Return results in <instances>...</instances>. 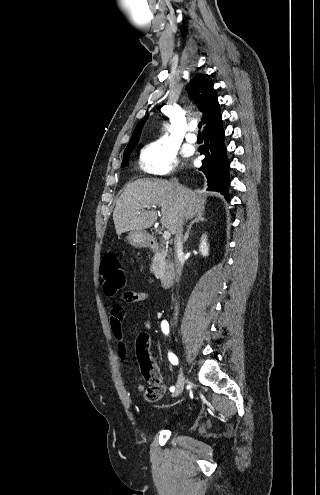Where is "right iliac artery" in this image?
I'll return each instance as SVG.
<instances>
[{"label": "right iliac artery", "mask_w": 320, "mask_h": 495, "mask_svg": "<svg viewBox=\"0 0 320 495\" xmlns=\"http://www.w3.org/2000/svg\"><path fill=\"white\" fill-rule=\"evenodd\" d=\"M161 329H162V331L164 332L165 335H168V333H169V324H168V322L166 320H163L161 322ZM168 357H169V361L173 365H177L178 364V358H177V356L173 352L169 351ZM174 390H175V387L174 386L170 387V391L171 392H174Z\"/></svg>", "instance_id": "obj_1"}]
</instances>
